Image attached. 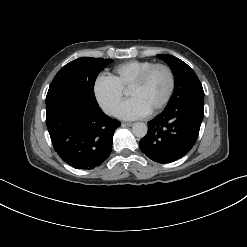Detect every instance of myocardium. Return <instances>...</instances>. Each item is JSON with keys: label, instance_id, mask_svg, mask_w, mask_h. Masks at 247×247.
I'll use <instances>...</instances> for the list:
<instances>
[{"label": "myocardium", "instance_id": "obj_1", "mask_svg": "<svg viewBox=\"0 0 247 247\" xmlns=\"http://www.w3.org/2000/svg\"><path fill=\"white\" fill-rule=\"evenodd\" d=\"M156 68H163L167 71L169 75V79H170V85H169L168 92L166 96L164 97V99L155 108L149 111L150 114H153V113H156L162 110L169 103L174 93L175 86H176V77H175V73L173 69L168 64H165V63H154L148 68H146L129 86V89L142 86L147 80L150 73Z\"/></svg>", "mask_w": 247, "mask_h": 247}]
</instances>
